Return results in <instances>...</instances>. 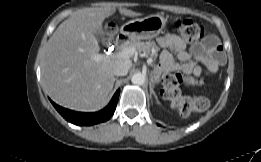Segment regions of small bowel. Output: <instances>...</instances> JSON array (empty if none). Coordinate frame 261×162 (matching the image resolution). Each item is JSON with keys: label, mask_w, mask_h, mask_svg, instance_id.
Instances as JSON below:
<instances>
[{"label": "small bowel", "mask_w": 261, "mask_h": 162, "mask_svg": "<svg viewBox=\"0 0 261 162\" xmlns=\"http://www.w3.org/2000/svg\"><path fill=\"white\" fill-rule=\"evenodd\" d=\"M158 43L165 49L160 55V69L163 72L182 71L193 78L216 72L226 61L221 44L212 35L193 46L191 52L186 51L185 42L174 34L160 36Z\"/></svg>", "instance_id": "small-bowel-1"}]
</instances>
